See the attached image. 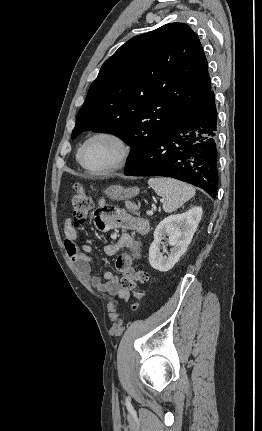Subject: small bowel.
Returning <instances> with one entry per match:
<instances>
[{"label":"small bowel","mask_w":262,"mask_h":431,"mask_svg":"<svg viewBox=\"0 0 262 431\" xmlns=\"http://www.w3.org/2000/svg\"><path fill=\"white\" fill-rule=\"evenodd\" d=\"M105 205L106 202L104 199H99L96 202V206L99 209L104 208ZM95 224L98 229L104 231H124L116 242L104 248V252L107 256L113 257L123 249L130 250L131 255H119L116 266L121 276L132 275V264L140 258L142 244L128 231L134 230L138 235L145 237L149 231V222L143 217L132 216L127 211L117 210L110 215H96ZM64 237L68 257L81 277L101 294L109 295L119 300L126 299L127 293L121 288L119 275L105 272L101 278L94 274L93 262L89 255L93 252V249L90 245H78L77 231L71 218H67L64 222Z\"/></svg>","instance_id":"1"}]
</instances>
